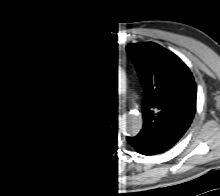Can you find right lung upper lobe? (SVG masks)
Here are the masks:
<instances>
[{
    "instance_id": "cb5924a9",
    "label": "right lung upper lobe",
    "mask_w": 220,
    "mask_h": 196,
    "mask_svg": "<svg viewBox=\"0 0 220 196\" xmlns=\"http://www.w3.org/2000/svg\"><path fill=\"white\" fill-rule=\"evenodd\" d=\"M112 49L104 43L80 38L53 54L38 90V100L45 128L57 142L80 146L95 134L98 121L91 107H84L88 101L86 84L98 62Z\"/></svg>"
}]
</instances>
